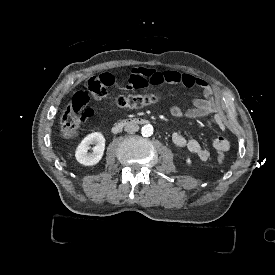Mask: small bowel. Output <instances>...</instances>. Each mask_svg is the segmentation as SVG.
I'll list each match as a JSON object with an SVG mask.
<instances>
[{
	"label": "small bowel",
	"instance_id": "c3829d8e",
	"mask_svg": "<svg viewBox=\"0 0 275 275\" xmlns=\"http://www.w3.org/2000/svg\"><path fill=\"white\" fill-rule=\"evenodd\" d=\"M100 79L103 85L115 88L119 81L116 76L110 72L101 74ZM174 84L183 85L185 87H195L202 91L203 97L192 100L191 107L183 110L180 106L174 105L170 108V113L175 118L200 119L209 115H213L216 124L226 130V122L224 119V106L217 98L212 87L203 80H198L190 74L181 73L175 70H156L145 67H138L132 70L126 84L128 89H138L150 85ZM172 142L179 148H185L201 161H207L211 157V151L204 147L196 139H187L179 133L172 136ZM212 146L216 151H227L231 147L228 138L218 136L212 141Z\"/></svg>",
	"mask_w": 275,
	"mask_h": 275
}]
</instances>
